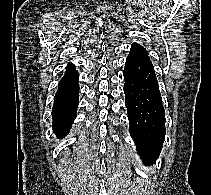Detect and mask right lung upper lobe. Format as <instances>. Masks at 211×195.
I'll use <instances>...</instances> for the list:
<instances>
[{"label": "right lung upper lobe", "instance_id": "obj_1", "mask_svg": "<svg viewBox=\"0 0 211 195\" xmlns=\"http://www.w3.org/2000/svg\"><path fill=\"white\" fill-rule=\"evenodd\" d=\"M70 68H74V65L73 64H68V66H67V69H70Z\"/></svg>", "mask_w": 211, "mask_h": 195}]
</instances>
